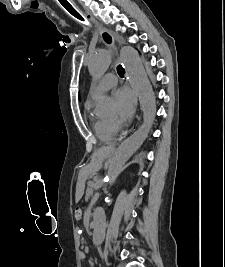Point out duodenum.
Segmentation results:
<instances>
[{
	"label": "duodenum",
	"instance_id": "1",
	"mask_svg": "<svg viewBox=\"0 0 225 267\" xmlns=\"http://www.w3.org/2000/svg\"><path fill=\"white\" fill-rule=\"evenodd\" d=\"M91 227L93 229H98L100 227V221L98 219H94L92 222H91Z\"/></svg>",
	"mask_w": 225,
	"mask_h": 267
}]
</instances>
